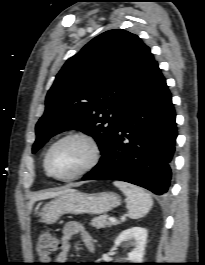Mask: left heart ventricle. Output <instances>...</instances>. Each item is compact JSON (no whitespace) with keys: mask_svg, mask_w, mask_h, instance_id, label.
<instances>
[{"mask_svg":"<svg viewBox=\"0 0 205 265\" xmlns=\"http://www.w3.org/2000/svg\"><path fill=\"white\" fill-rule=\"evenodd\" d=\"M89 146L82 140L69 139L58 144L48 160L50 171L58 176H68L78 171L89 159Z\"/></svg>","mask_w":205,"mask_h":265,"instance_id":"obj_1","label":"left heart ventricle"}]
</instances>
